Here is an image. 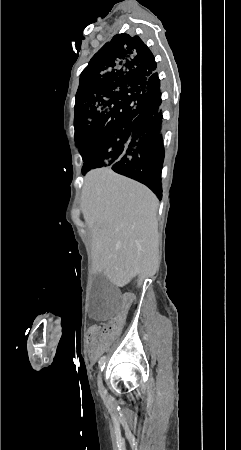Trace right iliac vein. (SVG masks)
Returning a JSON list of instances; mask_svg holds the SVG:
<instances>
[{
	"label": "right iliac vein",
	"mask_w": 241,
	"mask_h": 450,
	"mask_svg": "<svg viewBox=\"0 0 241 450\" xmlns=\"http://www.w3.org/2000/svg\"><path fill=\"white\" fill-rule=\"evenodd\" d=\"M98 384H99V389H100L101 391H103V385H102L101 379H99Z\"/></svg>",
	"instance_id": "1"
}]
</instances>
